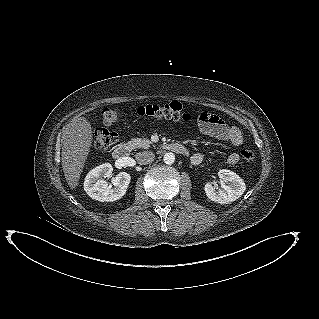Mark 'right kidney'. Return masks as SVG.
I'll return each instance as SVG.
<instances>
[{
    "instance_id": "right-kidney-1",
    "label": "right kidney",
    "mask_w": 319,
    "mask_h": 319,
    "mask_svg": "<svg viewBox=\"0 0 319 319\" xmlns=\"http://www.w3.org/2000/svg\"><path fill=\"white\" fill-rule=\"evenodd\" d=\"M113 167L109 163H104L91 169L84 180V190L95 200L101 202H113L121 199L127 191L131 180L130 174L120 172L112 177ZM112 177V185H108L105 178Z\"/></svg>"
}]
</instances>
